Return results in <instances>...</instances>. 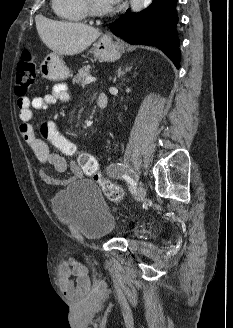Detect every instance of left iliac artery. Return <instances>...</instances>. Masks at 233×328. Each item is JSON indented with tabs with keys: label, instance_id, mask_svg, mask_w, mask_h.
<instances>
[{
	"label": "left iliac artery",
	"instance_id": "1",
	"mask_svg": "<svg viewBox=\"0 0 233 328\" xmlns=\"http://www.w3.org/2000/svg\"><path fill=\"white\" fill-rule=\"evenodd\" d=\"M120 177H122L123 179H125L128 182L129 189H130L131 193L134 194L136 192V183L133 181V179H131L126 174H121Z\"/></svg>",
	"mask_w": 233,
	"mask_h": 328
}]
</instances>
